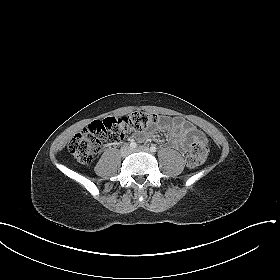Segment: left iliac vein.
<instances>
[{
	"mask_svg": "<svg viewBox=\"0 0 280 280\" xmlns=\"http://www.w3.org/2000/svg\"><path fill=\"white\" fill-rule=\"evenodd\" d=\"M134 152L138 151V152H146V153H150L149 148L145 147V146H140L137 149L133 150Z\"/></svg>",
	"mask_w": 280,
	"mask_h": 280,
	"instance_id": "left-iliac-vein-1",
	"label": "left iliac vein"
}]
</instances>
